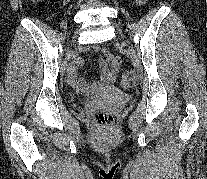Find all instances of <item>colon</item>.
Masks as SVG:
<instances>
[{
	"instance_id": "1",
	"label": "colon",
	"mask_w": 207,
	"mask_h": 179,
	"mask_svg": "<svg viewBox=\"0 0 207 179\" xmlns=\"http://www.w3.org/2000/svg\"><path fill=\"white\" fill-rule=\"evenodd\" d=\"M133 82V73L130 71L124 72L121 79V87L127 90ZM94 120L99 125H108L113 121V115L110 112L98 110L94 113Z\"/></svg>"
}]
</instances>
